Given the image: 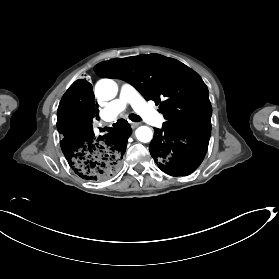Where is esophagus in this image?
<instances>
[{"instance_id":"34e87169","label":"esophagus","mask_w":279,"mask_h":279,"mask_svg":"<svg viewBox=\"0 0 279 279\" xmlns=\"http://www.w3.org/2000/svg\"><path fill=\"white\" fill-rule=\"evenodd\" d=\"M140 125V123H138V122H132L131 123V128L132 129H135L136 127H138Z\"/></svg>"}]
</instances>
